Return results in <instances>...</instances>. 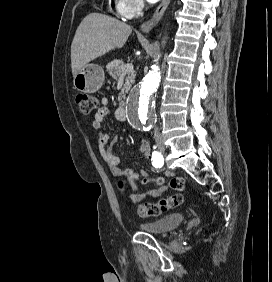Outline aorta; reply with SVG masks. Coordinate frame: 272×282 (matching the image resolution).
<instances>
[{
  "instance_id": "obj_1",
  "label": "aorta",
  "mask_w": 272,
  "mask_h": 282,
  "mask_svg": "<svg viewBox=\"0 0 272 282\" xmlns=\"http://www.w3.org/2000/svg\"><path fill=\"white\" fill-rule=\"evenodd\" d=\"M160 71L157 65L136 85L128 98L129 121L148 131L155 120L154 98L160 84Z\"/></svg>"
}]
</instances>
